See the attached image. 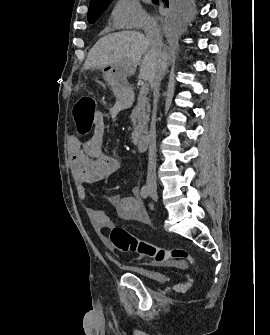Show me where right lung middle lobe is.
Here are the masks:
<instances>
[{
  "instance_id": "right-lung-middle-lobe-1",
  "label": "right lung middle lobe",
  "mask_w": 270,
  "mask_h": 335,
  "mask_svg": "<svg viewBox=\"0 0 270 335\" xmlns=\"http://www.w3.org/2000/svg\"><path fill=\"white\" fill-rule=\"evenodd\" d=\"M154 3H157L158 0H152ZM169 1V0H167ZM197 0H175L172 3L173 6V15L176 20L182 21L186 18L190 17L196 6ZM109 3L107 4H100V5H93L89 6L88 10V22L89 24H93L96 20L103 14V12L108 7ZM169 7V5L167 6Z\"/></svg>"
}]
</instances>
